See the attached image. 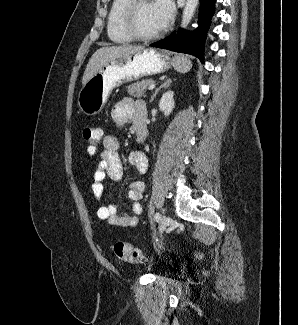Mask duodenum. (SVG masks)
I'll return each instance as SVG.
<instances>
[{
    "instance_id": "1",
    "label": "duodenum",
    "mask_w": 298,
    "mask_h": 325,
    "mask_svg": "<svg viewBox=\"0 0 298 325\" xmlns=\"http://www.w3.org/2000/svg\"><path fill=\"white\" fill-rule=\"evenodd\" d=\"M147 107L144 102H138L133 109V126L140 139L147 135Z\"/></svg>"
}]
</instances>
